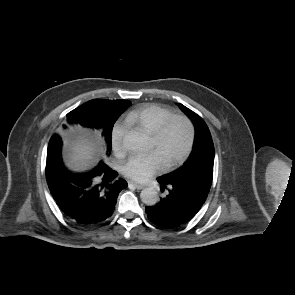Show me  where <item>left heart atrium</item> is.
<instances>
[{"instance_id":"left-heart-atrium-1","label":"left heart atrium","mask_w":295,"mask_h":295,"mask_svg":"<svg viewBox=\"0 0 295 295\" xmlns=\"http://www.w3.org/2000/svg\"><path fill=\"white\" fill-rule=\"evenodd\" d=\"M164 163L155 151L149 154L132 155L124 164V174L138 182H146L151 177L161 172Z\"/></svg>"}]
</instances>
